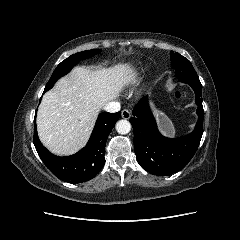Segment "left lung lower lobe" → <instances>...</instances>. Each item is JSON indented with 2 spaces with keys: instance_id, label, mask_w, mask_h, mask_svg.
<instances>
[{
  "instance_id": "0a47b994",
  "label": "left lung lower lobe",
  "mask_w": 240,
  "mask_h": 240,
  "mask_svg": "<svg viewBox=\"0 0 240 240\" xmlns=\"http://www.w3.org/2000/svg\"><path fill=\"white\" fill-rule=\"evenodd\" d=\"M195 92L198 122L192 133L170 139L160 134L147 96L135 106L130 118L134 131V149L140 166L151 174L165 176L184 168L198 149L203 134L202 85L200 80H180Z\"/></svg>"
}]
</instances>
